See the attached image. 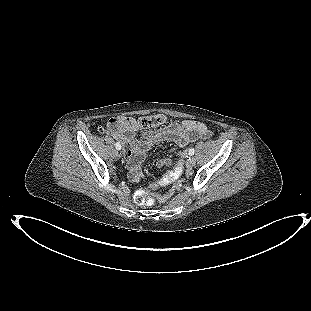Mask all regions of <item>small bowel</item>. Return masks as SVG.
<instances>
[{
  "label": "small bowel",
  "mask_w": 311,
  "mask_h": 311,
  "mask_svg": "<svg viewBox=\"0 0 311 311\" xmlns=\"http://www.w3.org/2000/svg\"><path fill=\"white\" fill-rule=\"evenodd\" d=\"M114 122L118 123L117 129L112 127ZM139 129L138 120L128 116L113 117L107 123L108 133L129 146V150L124 153V158L127 161L130 177L133 181H139L141 164L153 144L170 141L177 148H183L199 138H206L210 135L208 127L197 120H185L181 123H171L154 130H144L140 140L135 138V132ZM167 164H169L167 159L158 161L159 166ZM166 197L167 194L163 195L162 199Z\"/></svg>",
  "instance_id": "1"
}]
</instances>
